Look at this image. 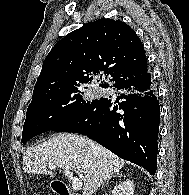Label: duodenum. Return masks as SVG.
Returning a JSON list of instances; mask_svg holds the SVG:
<instances>
[{
  "instance_id": "1",
  "label": "duodenum",
  "mask_w": 189,
  "mask_h": 195,
  "mask_svg": "<svg viewBox=\"0 0 189 195\" xmlns=\"http://www.w3.org/2000/svg\"><path fill=\"white\" fill-rule=\"evenodd\" d=\"M53 188L57 195H77L69 191L66 185L61 181H55L53 184Z\"/></svg>"
}]
</instances>
